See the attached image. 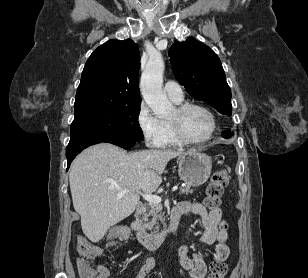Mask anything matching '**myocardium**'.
I'll use <instances>...</instances> for the list:
<instances>
[{
  "instance_id": "1",
  "label": "myocardium",
  "mask_w": 308,
  "mask_h": 278,
  "mask_svg": "<svg viewBox=\"0 0 308 278\" xmlns=\"http://www.w3.org/2000/svg\"><path fill=\"white\" fill-rule=\"evenodd\" d=\"M191 108H198L203 110L210 118L211 121V129L209 134L203 138V139H192L190 138L182 129L180 123L178 120H167L174 135L184 144H192V145H196V144H204L208 141H210L216 130H217V121H216V117L214 115V113L205 105L200 104V103H195V102H185V103H181L179 105H177L175 107V110L177 112L178 115H182L183 113H185L187 110L191 109Z\"/></svg>"
}]
</instances>
